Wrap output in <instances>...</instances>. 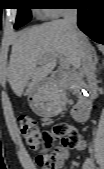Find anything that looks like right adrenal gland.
<instances>
[{
  "label": "right adrenal gland",
  "instance_id": "2a0ac1e0",
  "mask_svg": "<svg viewBox=\"0 0 104 169\" xmlns=\"http://www.w3.org/2000/svg\"><path fill=\"white\" fill-rule=\"evenodd\" d=\"M92 51H93V57H94V67L96 69V65L98 63V56H97V53L94 47L92 48Z\"/></svg>",
  "mask_w": 104,
  "mask_h": 169
}]
</instances>
